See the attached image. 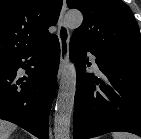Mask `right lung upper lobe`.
<instances>
[{"label": "right lung upper lobe", "mask_w": 141, "mask_h": 139, "mask_svg": "<svg viewBox=\"0 0 141 139\" xmlns=\"http://www.w3.org/2000/svg\"><path fill=\"white\" fill-rule=\"evenodd\" d=\"M63 0H0V60L49 42Z\"/></svg>", "instance_id": "right-lung-upper-lobe-1"}]
</instances>
